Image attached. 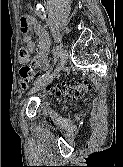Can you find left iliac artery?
I'll return each instance as SVG.
<instances>
[{
    "label": "left iliac artery",
    "mask_w": 123,
    "mask_h": 167,
    "mask_svg": "<svg viewBox=\"0 0 123 167\" xmlns=\"http://www.w3.org/2000/svg\"><path fill=\"white\" fill-rule=\"evenodd\" d=\"M61 51H62V47H61V46H57V47L54 48L53 54H54V61H55V62H56L57 59L59 58ZM44 76H45V74H43L42 76H40V77L38 78V81H39L41 78H43Z\"/></svg>",
    "instance_id": "1"
}]
</instances>
